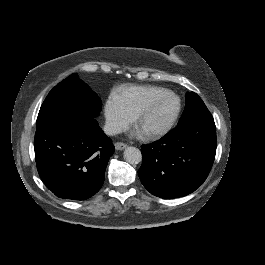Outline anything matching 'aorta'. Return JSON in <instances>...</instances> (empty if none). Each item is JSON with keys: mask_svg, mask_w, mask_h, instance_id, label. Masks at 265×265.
I'll use <instances>...</instances> for the list:
<instances>
[{"mask_svg": "<svg viewBox=\"0 0 265 265\" xmlns=\"http://www.w3.org/2000/svg\"><path fill=\"white\" fill-rule=\"evenodd\" d=\"M124 159L126 162L130 164H137L141 161V152L138 148L136 147H127L124 150Z\"/></svg>", "mask_w": 265, "mask_h": 265, "instance_id": "obj_1", "label": "aorta"}]
</instances>
